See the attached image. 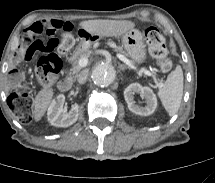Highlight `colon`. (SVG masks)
I'll use <instances>...</instances> for the list:
<instances>
[{"label": "colon", "instance_id": "obj_1", "mask_svg": "<svg viewBox=\"0 0 215 183\" xmlns=\"http://www.w3.org/2000/svg\"><path fill=\"white\" fill-rule=\"evenodd\" d=\"M47 38L44 40L42 34ZM146 43L152 56L156 59L160 69L164 72L172 68V60L166 48L163 35L154 27L145 31ZM74 45L73 36L69 29L63 30L59 37L50 30L39 29L32 33L25 31L19 48L20 60H26L35 53H40L36 65V75L45 86L54 85L61 69V61L56 52L66 53ZM9 106L15 116L22 122H30L33 117L32 98L26 88L13 92L8 99Z\"/></svg>", "mask_w": 215, "mask_h": 183}]
</instances>
